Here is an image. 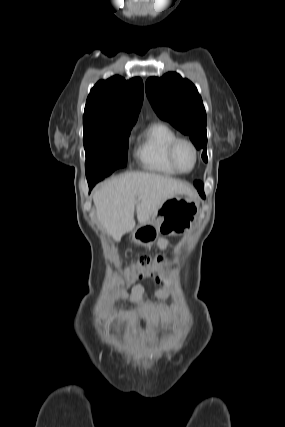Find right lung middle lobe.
Listing matches in <instances>:
<instances>
[{"label":"right lung middle lobe","mask_w":285,"mask_h":427,"mask_svg":"<svg viewBox=\"0 0 285 427\" xmlns=\"http://www.w3.org/2000/svg\"><path fill=\"white\" fill-rule=\"evenodd\" d=\"M83 125L88 182L103 179L116 169L126 166L128 137L133 124Z\"/></svg>","instance_id":"obj_1"}]
</instances>
